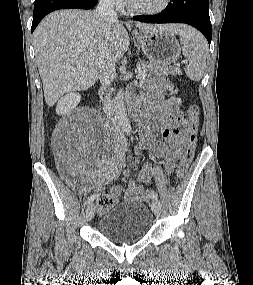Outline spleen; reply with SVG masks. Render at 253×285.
Returning a JSON list of instances; mask_svg holds the SVG:
<instances>
[{"mask_svg": "<svg viewBox=\"0 0 253 285\" xmlns=\"http://www.w3.org/2000/svg\"><path fill=\"white\" fill-rule=\"evenodd\" d=\"M179 36L182 53L188 62L185 73L189 79L200 81L206 68L207 41L201 33L188 26L179 33Z\"/></svg>", "mask_w": 253, "mask_h": 285, "instance_id": "1", "label": "spleen"}]
</instances>
